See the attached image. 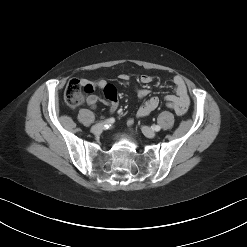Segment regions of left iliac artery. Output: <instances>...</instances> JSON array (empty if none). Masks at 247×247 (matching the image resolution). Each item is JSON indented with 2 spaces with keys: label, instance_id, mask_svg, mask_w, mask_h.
Masks as SVG:
<instances>
[{
  "label": "left iliac artery",
  "instance_id": "1",
  "mask_svg": "<svg viewBox=\"0 0 247 247\" xmlns=\"http://www.w3.org/2000/svg\"><path fill=\"white\" fill-rule=\"evenodd\" d=\"M160 129H161V127L159 125L153 126V130H155L157 132L160 131Z\"/></svg>",
  "mask_w": 247,
  "mask_h": 247
}]
</instances>
